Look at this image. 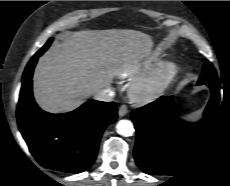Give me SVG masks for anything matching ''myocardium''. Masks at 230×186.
I'll use <instances>...</instances> for the list:
<instances>
[{
    "instance_id": "myocardium-1",
    "label": "myocardium",
    "mask_w": 230,
    "mask_h": 186,
    "mask_svg": "<svg viewBox=\"0 0 230 186\" xmlns=\"http://www.w3.org/2000/svg\"><path fill=\"white\" fill-rule=\"evenodd\" d=\"M173 61H164L151 71L136 78L129 87V96L135 103L146 104L159 98L179 74Z\"/></svg>"
}]
</instances>
